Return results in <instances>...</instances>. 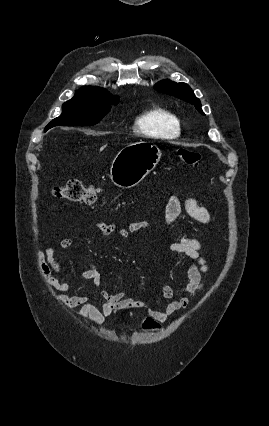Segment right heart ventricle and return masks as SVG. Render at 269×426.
<instances>
[{
  "label": "right heart ventricle",
  "mask_w": 269,
  "mask_h": 426,
  "mask_svg": "<svg viewBox=\"0 0 269 426\" xmlns=\"http://www.w3.org/2000/svg\"><path fill=\"white\" fill-rule=\"evenodd\" d=\"M136 126L143 134L154 138L168 139L179 133L177 117L163 108H154L142 114Z\"/></svg>",
  "instance_id": "1"
}]
</instances>
